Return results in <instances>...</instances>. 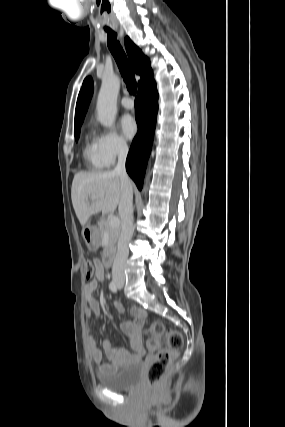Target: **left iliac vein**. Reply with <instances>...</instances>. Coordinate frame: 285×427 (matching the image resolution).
<instances>
[{"label": "left iliac vein", "mask_w": 285, "mask_h": 427, "mask_svg": "<svg viewBox=\"0 0 285 427\" xmlns=\"http://www.w3.org/2000/svg\"><path fill=\"white\" fill-rule=\"evenodd\" d=\"M119 289H121L123 287V283L122 284H118Z\"/></svg>", "instance_id": "left-iliac-vein-1"}]
</instances>
